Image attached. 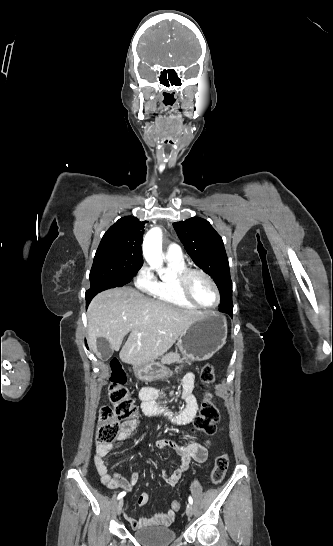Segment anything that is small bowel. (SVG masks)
<instances>
[{
  "label": "small bowel",
  "instance_id": "c3829d8e",
  "mask_svg": "<svg viewBox=\"0 0 333 546\" xmlns=\"http://www.w3.org/2000/svg\"><path fill=\"white\" fill-rule=\"evenodd\" d=\"M195 387V377L192 372H187L182 378V386L180 399L185 403L184 408L176 414L171 413L163 407L161 401L162 393L153 387H142L139 391L140 407L145 416L161 418L175 427H183L189 424L196 416L198 411V402L193 393ZM139 425V420L132 419L125 421L122 425L118 441L125 442L132 437ZM211 444L210 440L203 444L191 442L183 444L179 439L171 440L162 438L157 442V447L160 449L172 448L182 459L181 467L173 469L171 472L165 471L163 474L164 482L174 487L180 480L182 473L188 468L191 461L203 463L207 458V448ZM113 446L97 445L94 455V464L100 476L102 484L110 489L122 488L132 490L136 484L139 475L133 473L130 480L124 479L119 473H110L107 464V457L112 451ZM147 495L143 494L138 498V503L143 505L147 501ZM126 521L132 529L137 530L148 526H168L174 519V511L172 509L140 519L133 518L127 511L124 513Z\"/></svg>",
  "mask_w": 333,
  "mask_h": 546
}]
</instances>
